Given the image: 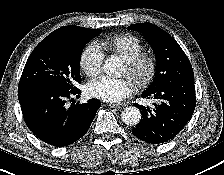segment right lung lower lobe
<instances>
[{"instance_id": "98d812e1", "label": "right lung lower lobe", "mask_w": 224, "mask_h": 175, "mask_svg": "<svg viewBox=\"0 0 224 175\" xmlns=\"http://www.w3.org/2000/svg\"><path fill=\"white\" fill-rule=\"evenodd\" d=\"M81 91L43 85H19L18 99L28 128L42 141L55 147L70 145L88 131L101 102L67 106L68 99ZM72 101V99H71Z\"/></svg>"}]
</instances>
